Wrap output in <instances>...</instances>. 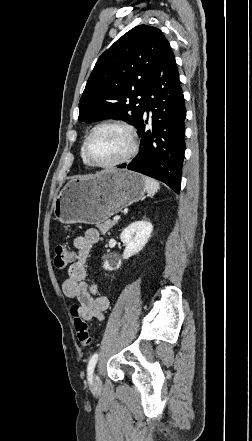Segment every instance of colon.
I'll return each mask as SVG.
<instances>
[{
  "instance_id": "colon-1",
  "label": "colon",
  "mask_w": 252,
  "mask_h": 441,
  "mask_svg": "<svg viewBox=\"0 0 252 441\" xmlns=\"http://www.w3.org/2000/svg\"><path fill=\"white\" fill-rule=\"evenodd\" d=\"M73 259V252L64 244H57L55 247L54 265L59 268H65ZM74 319V326L79 342L83 346H88L91 343V336L89 333V325L86 319L82 316L81 307L79 304H74L71 308Z\"/></svg>"
}]
</instances>
